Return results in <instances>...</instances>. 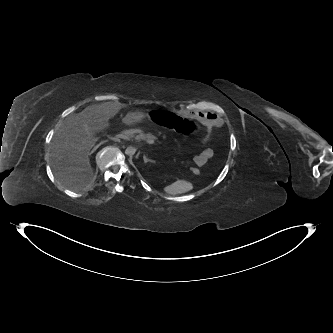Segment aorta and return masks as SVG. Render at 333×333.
<instances>
[{
  "mask_svg": "<svg viewBox=\"0 0 333 333\" xmlns=\"http://www.w3.org/2000/svg\"><path fill=\"white\" fill-rule=\"evenodd\" d=\"M136 153V148L133 146H129L125 150V154L128 156H133Z\"/></svg>",
  "mask_w": 333,
  "mask_h": 333,
  "instance_id": "1",
  "label": "aorta"
}]
</instances>
